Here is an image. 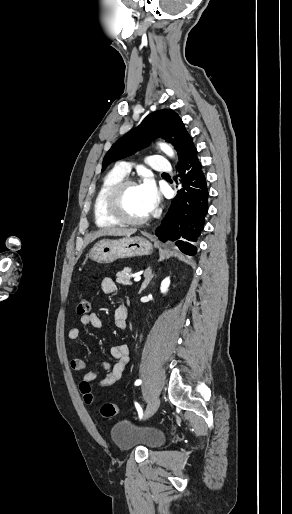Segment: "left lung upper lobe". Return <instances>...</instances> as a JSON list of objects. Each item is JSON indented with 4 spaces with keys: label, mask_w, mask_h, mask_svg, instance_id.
I'll return each mask as SVG.
<instances>
[{
    "label": "left lung upper lobe",
    "mask_w": 292,
    "mask_h": 514,
    "mask_svg": "<svg viewBox=\"0 0 292 514\" xmlns=\"http://www.w3.org/2000/svg\"><path fill=\"white\" fill-rule=\"evenodd\" d=\"M156 138H163L175 147L179 162L188 146L193 143L192 137L175 111L158 110L146 116L138 127L113 144L104 157L102 171L110 163L134 154Z\"/></svg>",
    "instance_id": "obj_1"
}]
</instances>
